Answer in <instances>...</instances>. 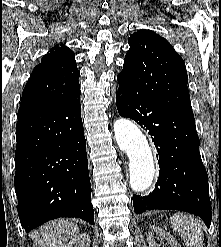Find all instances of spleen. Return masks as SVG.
<instances>
[{"mask_svg": "<svg viewBox=\"0 0 221 247\" xmlns=\"http://www.w3.org/2000/svg\"><path fill=\"white\" fill-rule=\"evenodd\" d=\"M170 221L187 247H203V231L196 218L185 213H176Z\"/></svg>", "mask_w": 221, "mask_h": 247, "instance_id": "3e777b00", "label": "spleen"}]
</instances>
